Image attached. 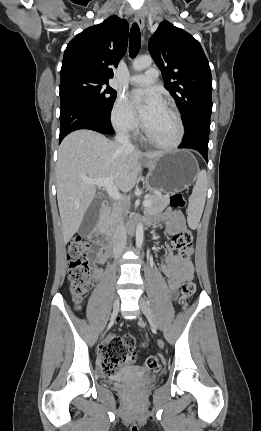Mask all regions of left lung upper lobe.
<instances>
[{
    "mask_svg": "<svg viewBox=\"0 0 261 431\" xmlns=\"http://www.w3.org/2000/svg\"><path fill=\"white\" fill-rule=\"evenodd\" d=\"M148 48L181 112L184 128L199 117H210L211 70L200 43L183 29L163 21Z\"/></svg>",
    "mask_w": 261,
    "mask_h": 431,
    "instance_id": "1",
    "label": "left lung upper lobe"
}]
</instances>
